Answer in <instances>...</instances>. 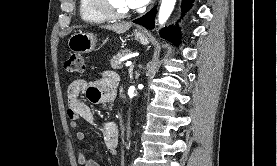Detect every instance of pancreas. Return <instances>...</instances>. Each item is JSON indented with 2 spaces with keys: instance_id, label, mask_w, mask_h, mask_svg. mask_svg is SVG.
Masks as SVG:
<instances>
[{
  "instance_id": "1",
  "label": "pancreas",
  "mask_w": 277,
  "mask_h": 166,
  "mask_svg": "<svg viewBox=\"0 0 277 166\" xmlns=\"http://www.w3.org/2000/svg\"><path fill=\"white\" fill-rule=\"evenodd\" d=\"M130 53V50H121L111 59V67L112 69L118 70L123 67V63L120 60L121 57L126 56Z\"/></svg>"
}]
</instances>
